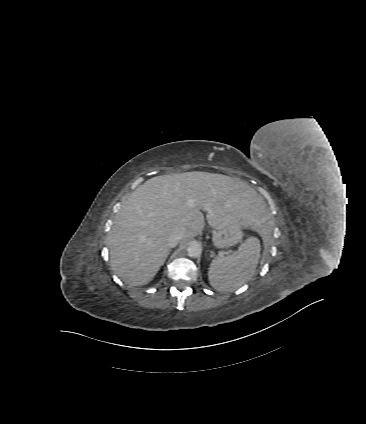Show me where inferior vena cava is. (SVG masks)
<instances>
[{"label": "inferior vena cava", "instance_id": "obj_1", "mask_svg": "<svg viewBox=\"0 0 366 424\" xmlns=\"http://www.w3.org/2000/svg\"><path fill=\"white\" fill-rule=\"evenodd\" d=\"M183 237V234L181 232H175L171 234L168 238V246L173 248L176 245H178Z\"/></svg>", "mask_w": 366, "mask_h": 424}]
</instances>
